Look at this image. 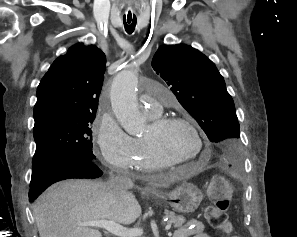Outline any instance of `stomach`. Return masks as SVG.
<instances>
[{
	"label": "stomach",
	"mask_w": 297,
	"mask_h": 237,
	"mask_svg": "<svg viewBox=\"0 0 297 237\" xmlns=\"http://www.w3.org/2000/svg\"><path fill=\"white\" fill-rule=\"evenodd\" d=\"M156 195L160 196L159 194ZM160 197L168 198L170 201L169 204L175 210L185 214L193 213L203 199L202 192L194 184L187 182L176 187L166 196Z\"/></svg>",
	"instance_id": "0dacf381"
}]
</instances>
